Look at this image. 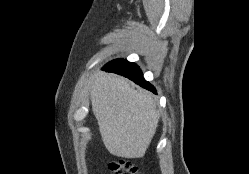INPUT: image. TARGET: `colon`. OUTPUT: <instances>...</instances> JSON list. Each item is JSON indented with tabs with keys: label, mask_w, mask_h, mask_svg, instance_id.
Wrapping results in <instances>:
<instances>
[{
	"label": "colon",
	"mask_w": 249,
	"mask_h": 174,
	"mask_svg": "<svg viewBox=\"0 0 249 174\" xmlns=\"http://www.w3.org/2000/svg\"><path fill=\"white\" fill-rule=\"evenodd\" d=\"M108 166L112 174H138L137 167L126 159L110 160Z\"/></svg>",
	"instance_id": "colon-1"
}]
</instances>
